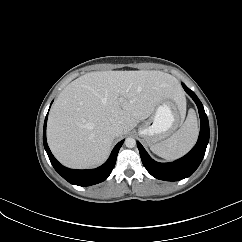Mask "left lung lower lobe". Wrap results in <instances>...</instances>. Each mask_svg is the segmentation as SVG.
I'll list each match as a JSON object with an SVG mask.
<instances>
[{
  "instance_id": "obj_1",
  "label": "left lung lower lobe",
  "mask_w": 242,
  "mask_h": 242,
  "mask_svg": "<svg viewBox=\"0 0 242 242\" xmlns=\"http://www.w3.org/2000/svg\"><path fill=\"white\" fill-rule=\"evenodd\" d=\"M182 86L196 103L200 115V134L194 148L181 159L171 163H159L154 161L143 146L137 142L143 165L153 177L160 180L179 181L192 175L200 165L209 142V123L203 105L192 90L184 83H182Z\"/></svg>"
}]
</instances>
